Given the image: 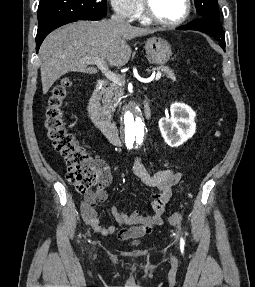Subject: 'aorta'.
<instances>
[{
	"label": "aorta",
	"mask_w": 255,
	"mask_h": 287,
	"mask_svg": "<svg viewBox=\"0 0 255 287\" xmlns=\"http://www.w3.org/2000/svg\"><path fill=\"white\" fill-rule=\"evenodd\" d=\"M123 132L127 146L141 145L145 134V124L140 110L133 106L124 113Z\"/></svg>",
	"instance_id": "aorta-1"
}]
</instances>
